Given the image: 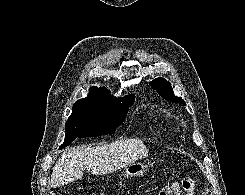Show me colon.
<instances>
[{"mask_svg":"<svg viewBox=\"0 0 245 195\" xmlns=\"http://www.w3.org/2000/svg\"><path fill=\"white\" fill-rule=\"evenodd\" d=\"M194 183L190 179H184L181 182H174L164 187L159 195H180L184 191H192Z\"/></svg>","mask_w":245,"mask_h":195,"instance_id":"obj_1","label":"colon"}]
</instances>
